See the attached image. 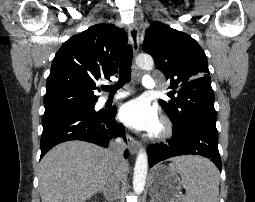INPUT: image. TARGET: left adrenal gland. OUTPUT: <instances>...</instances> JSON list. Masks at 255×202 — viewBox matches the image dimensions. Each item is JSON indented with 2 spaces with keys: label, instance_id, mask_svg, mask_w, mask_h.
<instances>
[{
  "label": "left adrenal gland",
  "instance_id": "obj_1",
  "mask_svg": "<svg viewBox=\"0 0 255 202\" xmlns=\"http://www.w3.org/2000/svg\"><path fill=\"white\" fill-rule=\"evenodd\" d=\"M150 202H156L153 196H151V201Z\"/></svg>",
  "mask_w": 255,
  "mask_h": 202
}]
</instances>
